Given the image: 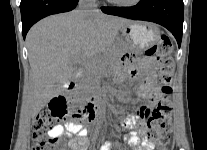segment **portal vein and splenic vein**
<instances>
[{
  "label": "portal vein and splenic vein",
  "mask_w": 207,
  "mask_h": 150,
  "mask_svg": "<svg viewBox=\"0 0 207 150\" xmlns=\"http://www.w3.org/2000/svg\"><path fill=\"white\" fill-rule=\"evenodd\" d=\"M76 61V60H75ZM77 62H79V61H77ZM96 62V60L95 59H92V60H88V61H86V62H84L82 65H84V66H90L91 64H93V63H95ZM81 71V70H80Z\"/></svg>",
  "instance_id": "obj_1"
}]
</instances>
